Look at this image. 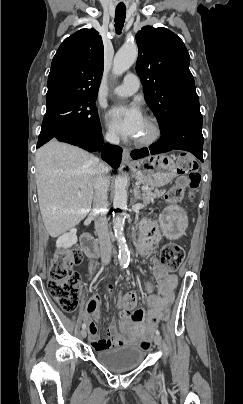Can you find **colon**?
<instances>
[{"instance_id":"5ec220e1","label":"colon","mask_w":243,"mask_h":404,"mask_svg":"<svg viewBox=\"0 0 243 404\" xmlns=\"http://www.w3.org/2000/svg\"><path fill=\"white\" fill-rule=\"evenodd\" d=\"M177 170L181 176L165 195V202L169 205L179 203L186 189L195 190L200 182L197 164L190 155L182 153L179 156ZM160 257L164 265L170 269H177L184 261L185 252L181 246L168 243L162 248ZM82 259V253L78 249H59L49 266V293L66 312H72L78 306L80 277L73 267L79 265ZM147 289H150V286H147ZM137 297L135 291H130L119 300L118 305L123 317H129L136 310ZM168 317L169 312L162 320H167ZM140 344L143 349L150 347L148 339H142Z\"/></svg>"}]
</instances>
